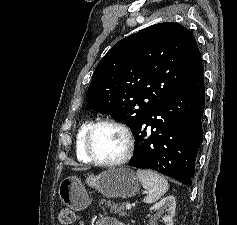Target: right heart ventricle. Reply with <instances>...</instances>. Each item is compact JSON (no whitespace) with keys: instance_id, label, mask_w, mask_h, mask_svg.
Here are the masks:
<instances>
[{"instance_id":"1","label":"right heart ventricle","mask_w":237,"mask_h":225,"mask_svg":"<svg viewBox=\"0 0 237 225\" xmlns=\"http://www.w3.org/2000/svg\"><path fill=\"white\" fill-rule=\"evenodd\" d=\"M91 124H92L91 121L83 122L79 126V128L77 130V133H76L75 154H76L77 159L79 161L84 162V163H90L91 162L89 157L86 155L85 149H84L85 135H86V132H87V130L90 127Z\"/></svg>"}]
</instances>
